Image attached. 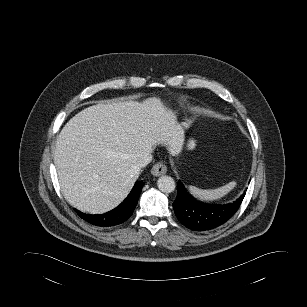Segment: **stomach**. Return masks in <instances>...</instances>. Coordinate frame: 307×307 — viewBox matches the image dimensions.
<instances>
[{
	"instance_id": "obj_1",
	"label": "stomach",
	"mask_w": 307,
	"mask_h": 307,
	"mask_svg": "<svg viewBox=\"0 0 307 307\" xmlns=\"http://www.w3.org/2000/svg\"><path fill=\"white\" fill-rule=\"evenodd\" d=\"M189 149H193L195 147V141L194 140H190L189 144H188Z\"/></svg>"
}]
</instances>
